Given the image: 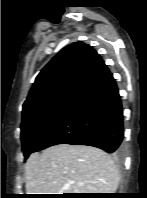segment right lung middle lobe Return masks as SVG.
<instances>
[{
    "mask_svg": "<svg viewBox=\"0 0 147 198\" xmlns=\"http://www.w3.org/2000/svg\"><path fill=\"white\" fill-rule=\"evenodd\" d=\"M74 103L71 101L52 102L23 115L21 141L25 158L34 152L37 144L73 107Z\"/></svg>",
    "mask_w": 147,
    "mask_h": 198,
    "instance_id": "dd1d6c3e",
    "label": "right lung middle lobe"
}]
</instances>
